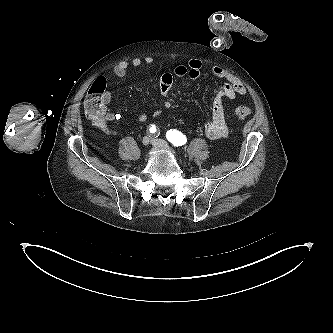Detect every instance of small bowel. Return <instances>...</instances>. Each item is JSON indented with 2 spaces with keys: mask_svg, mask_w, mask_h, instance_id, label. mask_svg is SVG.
Masks as SVG:
<instances>
[{
  "mask_svg": "<svg viewBox=\"0 0 333 333\" xmlns=\"http://www.w3.org/2000/svg\"><path fill=\"white\" fill-rule=\"evenodd\" d=\"M154 59L152 57L134 58L131 63L127 61H121L116 64L113 68V74L116 77L124 78L127 75L128 68L130 64L133 67H140L142 64H153ZM202 68V63L198 59H190L186 65H179L174 69V75L177 77L187 76L191 79H196L200 76ZM212 74L218 78L223 80V83L220 85L212 104L211 110V118L204 125V133L210 139H220L224 138L228 134V127L224 113V101L225 100H233L237 95H244L246 93V88L243 83L233 74L228 72L227 70L221 67H214L212 69ZM173 82V75L170 73H166L161 77L160 81V91L162 96L167 98L170 94L171 87ZM111 100L110 92L106 91L105 101L108 104ZM172 107V103L170 100L166 99L163 103L164 109H170ZM160 111L155 112V116H159ZM120 117L119 114L114 112H107L104 116L95 121V125L101 129L106 128L107 122H113L118 120ZM148 119V115L146 113H142L138 116L137 120L140 123L146 122Z\"/></svg>",
  "mask_w": 333,
  "mask_h": 333,
  "instance_id": "c3829d8e",
  "label": "small bowel"
}]
</instances>
